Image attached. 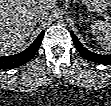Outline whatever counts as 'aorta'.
<instances>
[{
  "label": "aorta",
  "mask_w": 111,
  "mask_h": 106,
  "mask_svg": "<svg viewBox=\"0 0 111 106\" xmlns=\"http://www.w3.org/2000/svg\"><path fill=\"white\" fill-rule=\"evenodd\" d=\"M65 17L63 15H60V19H64Z\"/></svg>",
  "instance_id": "762f6f07"
}]
</instances>
